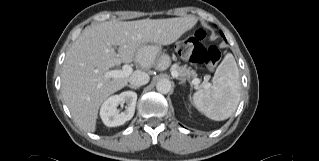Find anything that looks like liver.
<instances>
[{
	"label": "liver",
	"mask_w": 319,
	"mask_h": 161,
	"mask_svg": "<svg viewBox=\"0 0 319 161\" xmlns=\"http://www.w3.org/2000/svg\"><path fill=\"white\" fill-rule=\"evenodd\" d=\"M196 23L194 17H179L112 20L86 27L67 51L61 74L63 99L76 124L94 132L103 101L127 85L129 77L105 78L109 68L137 60V51L144 44L174 43ZM114 46H119L117 53ZM139 63L143 68L153 64Z\"/></svg>",
	"instance_id": "liver-1"
}]
</instances>
